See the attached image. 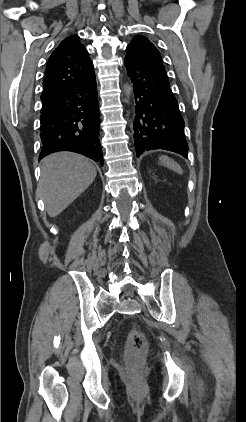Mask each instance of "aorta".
<instances>
[{
  "instance_id": "1",
  "label": "aorta",
  "mask_w": 246,
  "mask_h": 422,
  "mask_svg": "<svg viewBox=\"0 0 246 422\" xmlns=\"http://www.w3.org/2000/svg\"><path fill=\"white\" fill-rule=\"evenodd\" d=\"M123 89H124V93H125V96L127 97V99H130V96L133 92L132 85L127 83V84L124 85Z\"/></svg>"
}]
</instances>
